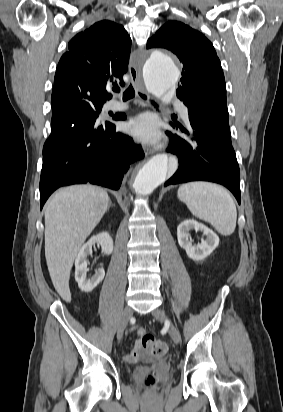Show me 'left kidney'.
<instances>
[{
	"mask_svg": "<svg viewBox=\"0 0 283 412\" xmlns=\"http://www.w3.org/2000/svg\"><path fill=\"white\" fill-rule=\"evenodd\" d=\"M192 229L195 231H202L206 239L200 244L193 245L192 240L189 238ZM177 238L179 245L185 249L187 256L194 261L205 259L219 245V237L217 234L193 219L185 220L180 223L177 228Z\"/></svg>",
	"mask_w": 283,
	"mask_h": 412,
	"instance_id": "5707ae66",
	"label": "left kidney"
}]
</instances>
